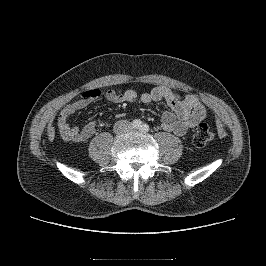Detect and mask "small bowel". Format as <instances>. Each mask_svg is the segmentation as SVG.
Instances as JSON below:
<instances>
[{
    "instance_id": "c3829d8e",
    "label": "small bowel",
    "mask_w": 266,
    "mask_h": 266,
    "mask_svg": "<svg viewBox=\"0 0 266 266\" xmlns=\"http://www.w3.org/2000/svg\"><path fill=\"white\" fill-rule=\"evenodd\" d=\"M102 95H104L106 100L117 104L134 103L138 100L143 103L165 101L169 110L162 113L161 126L165 131L171 132L176 136L185 135L206 117V109L196 96H181L166 86L155 87L141 95H138L134 90L109 89L103 94L99 89H91L77 100L67 104L60 111L57 127L65 141L73 143L85 142L95 134L97 128L96 120H91L83 127H79L70 123V117L98 100ZM117 116L122 117L123 114L118 113Z\"/></svg>"
}]
</instances>
